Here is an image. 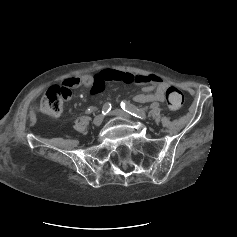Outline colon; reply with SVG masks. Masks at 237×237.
<instances>
[{
	"mask_svg": "<svg viewBox=\"0 0 237 237\" xmlns=\"http://www.w3.org/2000/svg\"><path fill=\"white\" fill-rule=\"evenodd\" d=\"M73 85V82H64L61 87H50L36 105L35 109L47 116L58 115L62 111L64 100L70 97ZM165 97L167 105L171 110L176 111L183 105V94L176 87H168Z\"/></svg>",
	"mask_w": 237,
	"mask_h": 237,
	"instance_id": "colon-1",
	"label": "colon"
}]
</instances>
